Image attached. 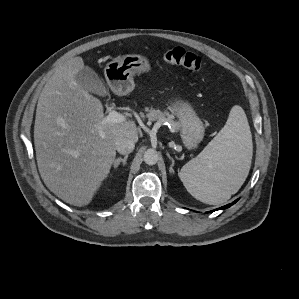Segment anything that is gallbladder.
<instances>
[{"mask_svg":"<svg viewBox=\"0 0 299 299\" xmlns=\"http://www.w3.org/2000/svg\"><path fill=\"white\" fill-rule=\"evenodd\" d=\"M75 80L79 86L87 92H92L99 95L106 93L101 79L96 72L88 66H84L78 71V73L75 75Z\"/></svg>","mask_w":299,"mask_h":299,"instance_id":"1","label":"gallbladder"}]
</instances>
